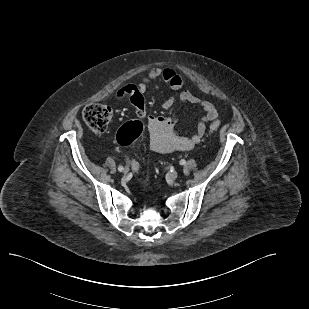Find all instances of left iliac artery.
<instances>
[{
    "label": "left iliac artery",
    "instance_id": "left-iliac-artery-1",
    "mask_svg": "<svg viewBox=\"0 0 309 309\" xmlns=\"http://www.w3.org/2000/svg\"><path fill=\"white\" fill-rule=\"evenodd\" d=\"M180 164L181 165H185L186 164V161L184 159L180 160Z\"/></svg>",
    "mask_w": 309,
    "mask_h": 309
}]
</instances>
